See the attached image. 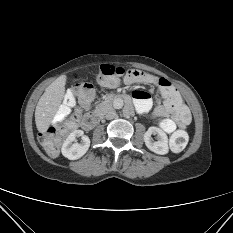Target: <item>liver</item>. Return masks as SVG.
<instances>
[{"label":"liver","instance_id":"liver-1","mask_svg":"<svg viewBox=\"0 0 233 233\" xmlns=\"http://www.w3.org/2000/svg\"><path fill=\"white\" fill-rule=\"evenodd\" d=\"M66 75L53 81L40 97L35 109V123L39 132L46 133L65 93Z\"/></svg>","mask_w":233,"mask_h":233}]
</instances>
